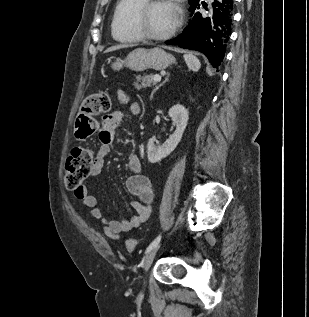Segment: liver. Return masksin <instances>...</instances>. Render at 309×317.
<instances>
[{
	"instance_id": "liver-1",
	"label": "liver",
	"mask_w": 309,
	"mask_h": 317,
	"mask_svg": "<svg viewBox=\"0 0 309 317\" xmlns=\"http://www.w3.org/2000/svg\"><path fill=\"white\" fill-rule=\"evenodd\" d=\"M130 45H116V46H112L110 48H108L105 52L108 53V52H113V51H116V50H119V49H122V48H127L129 47Z\"/></svg>"
}]
</instances>
